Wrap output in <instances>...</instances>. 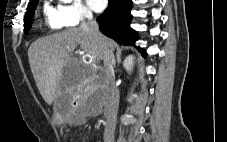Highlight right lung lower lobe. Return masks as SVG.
Instances as JSON below:
<instances>
[{"label": "right lung lower lobe", "mask_w": 227, "mask_h": 142, "mask_svg": "<svg viewBox=\"0 0 227 142\" xmlns=\"http://www.w3.org/2000/svg\"><path fill=\"white\" fill-rule=\"evenodd\" d=\"M132 7V0H109L108 8L97 18L102 33L120 44H134L137 36L130 28Z\"/></svg>", "instance_id": "1"}]
</instances>
